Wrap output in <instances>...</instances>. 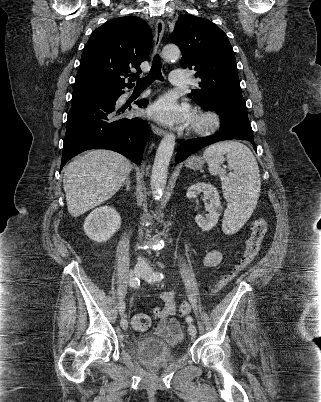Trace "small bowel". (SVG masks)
Returning a JSON list of instances; mask_svg holds the SVG:
<instances>
[{"label":"small bowel","instance_id":"1","mask_svg":"<svg viewBox=\"0 0 321 402\" xmlns=\"http://www.w3.org/2000/svg\"><path fill=\"white\" fill-rule=\"evenodd\" d=\"M221 260V251L214 249L205 254L203 264L206 267H215ZM161 299L163 306L153 310V314L158 320L155 333L163 337L169 343H176L182 338V331L179 322L174 318L176 314L174 295L170 291H165L161 293Z\"/></svg>","mask_w":321,"mask_h":402}]
</instances>
